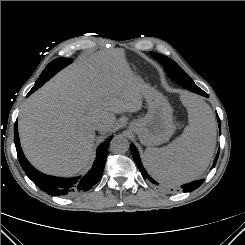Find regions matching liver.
I'll return each instance as SVG.
<instances>
[{
	"mask_svg": "<svg viewBox=\"0 0 245 245\" xmlns=\"http://www.w3.org/2000/svg\"><path fill=\"white\" fill-rule=\"evenodd\" d=\"M144 86L123 49L99 51L57 74L24 103L18 122L27 159L44 173L71 176L91 157L95 131L116 113L142 108ZM102 122L103 128L96 125Z\"/></svg>",
	"mask_w": 245,
	"mask_h": 245,
	"instance_id": "1",
	"label": "liver"
}]
</instances>
